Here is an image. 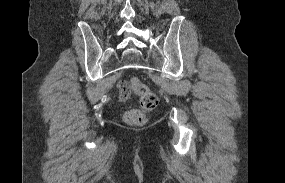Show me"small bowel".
<instances>
[{
	"mask_svg": "<svg viewBox=\"0 0 285 183\" xmlns=\"http://www.w3.org/2000/svg\"><path fill=\"white\" fill-rule=\"evenodd\" d=\"M117 90L119 92V97L121 101H125L129 97V84L126 81H119L116 85Z\"/></svg>",
	"mask_w": 285,
	"mask_h": 183,
	"instance_id": "obj_1",
	"label": "small bowel"
}]
</instances>
